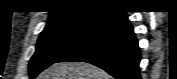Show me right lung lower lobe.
<instances>
[{"label": "right lung lower lobe", "instance_id": "obj_1", "mask_svg": "<svg viewBox=\"0 0 177 79\" xmlns=\"http://www.w3.org/2000/svg\"><path fill=\"white\" fill-rule=\"evenodd\" d=\"M94 64L116 79H141L138 41L125 12L112 11L74 48L57 62Z\"/></svg>", "mask_w": 177, "mask_h": 79}]
</instances>
